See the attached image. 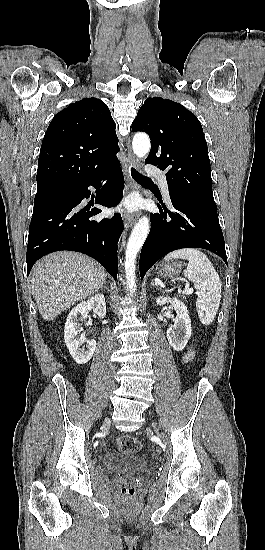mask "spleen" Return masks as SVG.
<instances>
[{"mask_svg":"<svg viewBox=\"0 0 265 550\" xmlns=\"http://www.w3.org/2000/svg\"><path fill=\"white\" fill-rule=\"evenodd\" d=\"M181 258L189 260L185 277L194 282L198 290L196 309L204 325L213 322L221 300V281L208 257L198 249L184 248L165 256V260Z\"/></svg>","mask_w":265,"mask_h":550,"instance_id":"3e777b00","label":"spleen"}]
</instances>
